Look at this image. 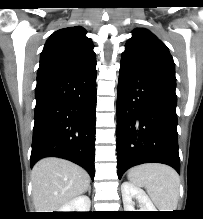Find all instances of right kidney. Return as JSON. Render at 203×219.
Wrapping results in <instances>:
<instances>
[{
    "mask_svg": "<svg viewBox=\"0 0 203 219\" xmlns=\"http://www.w3.org/2000/svg\"><path fill=\"white\" fill-rule=\"evenodd\" d=\"M90 206V198L86 195H82L63 205L58 212H89Z\"/></svg>",
    "mask_w": 203,
    "mask_h": 219,
    "instance_id": "ca27d5eb",
    "label": "right kidney"
}]
</instances>
